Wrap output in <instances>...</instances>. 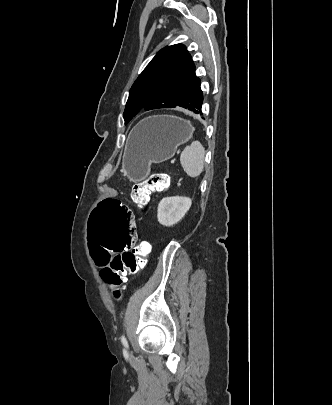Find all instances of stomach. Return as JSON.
<instances>
[{
    "label": "stomach",
    "instance_id": "obj_1",
    "mask_svg": "<svg viewBox=\"0 0 332 405\" xmlns=\"http://www.w3.org/2000/svg\"><path fill=\"white\" fill-rule=\"evenodd\" d=\"M194 128L174 116H152L140 121L130 132L122 168L133 182L147 178L152 163L171 159L181 144L193 136Z\"/></svg>",
    "mask_w": 332,
    "mask_h": 405
}]
</instances>
